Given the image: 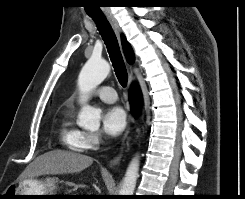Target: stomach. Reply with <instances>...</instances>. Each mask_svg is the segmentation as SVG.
Masks as SVG:
<instances>
[{"mask_svg":"<svg viewBox=\"0 0 245 199\" xmlns=\"http://www.w3.org/2000/svg\"><path fill=\"white\" fill-rule=\"evenodd\" d=\"M53 184L54 181L50 178H47L46 181L23 180L18 185H12L8 189L14 199H40L43 197L14 195H54L51 193Z\"/></svg>","mask_w":245,"mask_h":199,"instance_id":"obj_1","label":"stomach"}]
</instances>
